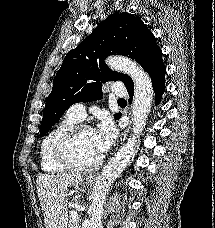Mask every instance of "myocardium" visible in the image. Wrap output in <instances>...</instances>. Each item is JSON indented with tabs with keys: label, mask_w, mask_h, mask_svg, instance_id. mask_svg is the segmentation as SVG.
Returning <instances> with one entry per match:
<instances>
[{
	"label": "myocardium",
	"mask_w": 215,
	"mask_h": 228,
	"mask_svg": "<svg viewBox=\"0 0 215 228\" xmlns=\"http://www.w3.org/2000/svg\"><path fill=\"white\" fill-rule=\"evenodd\" d=\"M84 129L93 128L87 123H76L64 130L54 142L53 157L59 165L63 166L66 169L88 172L99 168L104 162V155H102L97 161L87 165H82L75 162L70 156V143L77 136V134Z\"/></svg>",
	"instance_id": "obj_1"
}]
</instances>
